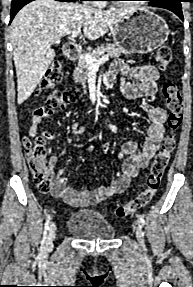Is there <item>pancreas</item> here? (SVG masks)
Segmentation results:
<instances>
[{"instance_id":"cf45deb5","label":"pancreas","mask_w":193,"mask_h":287,"mask_svg":"<svg viewBox=\"0 0 193 287\" xmlns=\"http://www.w3.org/2000/svg\"><path fill=\"white\" fill-rule=\"evenodd\" d=\"M104 53H107L111 58L118 59L122 51L118 45L106 44V45H101L97 47L95 50H93V52L91 53V56L94 57L95 59H99L101 55ZM77 58L79 61L74 70L73 77H74L75 83L81 84L83 88L85 89L86 88L85 84L88 79L90 67L86 63L84 55H78Z\"/></svg>"}]
</instances>
